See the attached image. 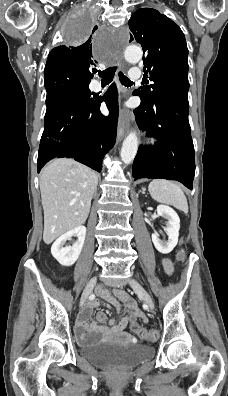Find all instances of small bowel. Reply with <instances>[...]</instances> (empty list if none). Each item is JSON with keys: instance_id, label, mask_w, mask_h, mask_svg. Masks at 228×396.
<instances>
[{"instance_id": "c3829d8e", "label": "small bowel", "mask_w": 228, "mask_h": 396, "mask_svg": "<svg viewBox=\"0 0 228 396\" xmlns=\"http://www.w3.org/2000/svg\"><path fill=\"white\" fill-rule=\"evenodd\" d=\"M162 265L167 274L173 272V264L169 259L164 258L162 260ZM98 294L102 299L110 303L117 312L120 311L121 304H123L130 313L119 322H117L115 318L111 319L109 321L110 327H107L103 324L107 319L106 314L103 311H99L96 314V320L88 325L92 310L99 306L98 300L89 301L75 324V334L78 340L81 343H91L101 338H132L125 329L132 323H136L139 319L145 321L144 312L137 306L134 300L122 290H116L114 294H111L106 289H99Z\"/></svg>"}]
</instances>
